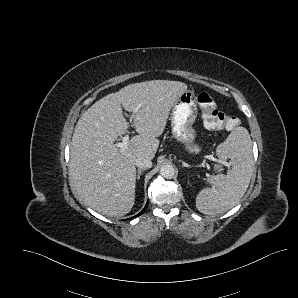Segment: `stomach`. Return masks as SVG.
<instances>
[{
	"label": "stomach",
	"instance_id": "stomach-1",
	"mask_svg": "<svg viewBox=\"0 0 298 298\" xmlns=\"http://www.w3.org/2000/svg\"><path fill=\"white\" fill-rule=\"evenodd\" d=\"M198 107L194 89H186L173 104L170 114L171 132L178 142L184 143L188 151L198 154L199 149L192 146L195 139L193 124L197 118Z\"/></svg>",
	"mask_w": 298,
	"mask_h": 298
}]
</instances>
